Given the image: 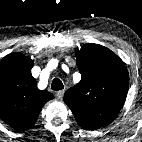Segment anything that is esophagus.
Instances as JSON below:
<instances>
[{"label":"esophagus","instance_id":"1","mask_svg":"<svg viewBox=\"0 0 142 142\" xmlns=\"http://www.w3.org/2000/svg\"><path fill=\"white\" fill-rule=\"evenodd\" d=\"M64 93H65L64 90L58 91V92L56 93L57 99L62 100V99H63V96H64Z\"/></svg>","mask_w":142,"mask_h":142}]
</instances>
